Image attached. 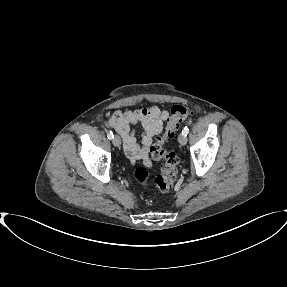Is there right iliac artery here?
Here are the masks:
<instances>
[{
  "label": "right iliac artery",
  "mask_w": 287,
  "mask_h": 287,
  "mask_svg": "<svg viewBox=\"0 0 287 287\" xmlns=\"http://www.w3.org/2000/svg\"><path fill=\"white\" fill-rule=\"evenodd\" d=\"M107 137H108L109 139H113V138H114V135H113L112 131H108Z\"/></svg>",
  "instance_id": "obj_1"
}]
</instances>
